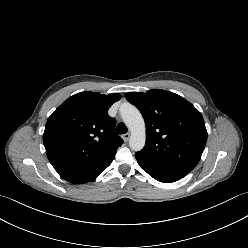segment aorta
Here are the masks:
<instances>
[{"instance_id":"obj_1","label":"aorta","mask_w":248,"mask_h":248,"mask_svg":"<svg viewBox=\"0 0 248 248\" xmlns=\"http://www.w3.org/2000/svg\"><path fill=\"white\" fill-rule=\"evenodd\" d=\"M122 108V119L131 132L129 146L134 151H140L143 149L146 141L144 119L136 107L126 105Z\"/></svg>"}]
</instances>
